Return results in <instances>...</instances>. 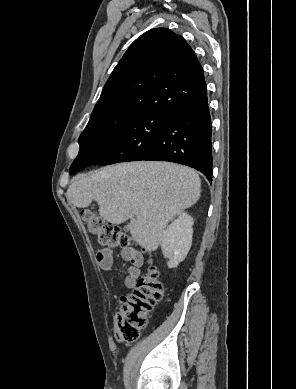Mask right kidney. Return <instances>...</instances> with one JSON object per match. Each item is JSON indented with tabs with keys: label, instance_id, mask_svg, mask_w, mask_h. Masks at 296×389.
<instances>
[{
	"label": "right kidney",
	"instance_id": "ca27d5eb",
	"mask_svg": "<svg viewBox=\"0 0 296 389\" xmlns=\"http://www.w3.org/2000/svg\"><path fill=\"white\" fill-rule=\"evenodd\" d=\"M193 224V218L182 212L164 230L160 244L164 256L169 259L168 268L177 267L187 256L192 245Z\"/></svg>",
	"mask_w": 296,
	"mask_h": 389
}]
</instances>
